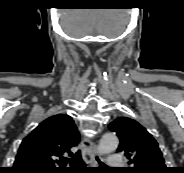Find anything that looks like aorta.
<instances>
[{
    "label": "aorta",
    "mask_w": 184,
    "mask_h": 173,
    "mask_svg": "<svg viewBox=\"0 0 184 173\" xmlns=\"http://www.w3.org/2000/svg\"><path fill=\"white\" fill-rule=\"evenodd\" d=\"M119 144L117 136L113 133H106L102 136L99 145L98 152L100 154H109L113 152Z\"/></svg>",
    "instance_id": "762f6f07"
}]
</instances>
